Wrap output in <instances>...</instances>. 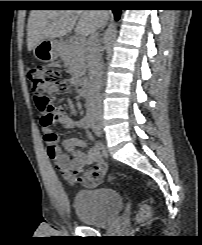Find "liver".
I'll list each match as a JSON object with an SVG mask.
<instances>
[{"mask_svg":"<svg viewBox=\"0 0 202 245\" xmlns=\"http://www.w3.org/2000/svg\"><path fill=\"white\" fill-rule=\"evenodd\" d=\"M109 19L106 11L32 10L27 24L28 51L44 39L62 37L72 31L89 36Z\"/></svg>","mask_w":202,"mask_h":245,"instance_id":"1","label":"liver"}]
</instances>
